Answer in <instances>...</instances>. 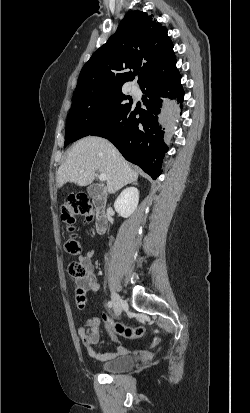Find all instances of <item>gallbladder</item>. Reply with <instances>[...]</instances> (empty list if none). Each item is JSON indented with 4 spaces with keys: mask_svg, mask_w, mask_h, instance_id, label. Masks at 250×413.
Here are the masks:
<instances>
[{
    "mask_svg": "<svg viewBox=\"0 0 250 413\" xmlns=\"http://www.w3.org/2000/svg\"><path fill=\"white\" fill-rule=\"evenodd\" d=\"M88 192H89L90 194H92V193H93V187H89V188H88Z\"/></svg>",
    "mask_w": 250,
    "mask_h": 413,
    "instance_id": "gallbladder-1",
    "label": "gallbladder"
}]
</instances>
